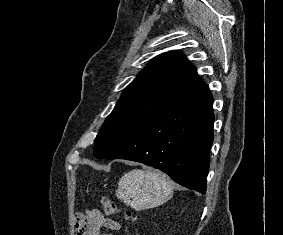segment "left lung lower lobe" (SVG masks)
I'll return each instance as SVG.
<instances>
[{
    "instance_id": "1",
    "label": "left lung lower lobe",
    "mask_w": 283,
    "mask_h": 235,
    "mask_svg": "<svg viewBox=\"0 0 283 235\" xmlns=\"http://www.w3.org/2000/svg\"><path fill=\"white\" fill-rule=\"evenodd\" d=\"M213 98L203 85L157 116L114 150L108 159L141 162L178 184L206 193L213 142Z\"/></svg>"
}]
</instances>
